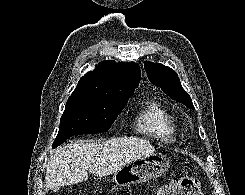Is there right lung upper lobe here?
Segmentation results:
<instances>
[{
  "instance_id": "cb5924a9",
  "label": "right lung upper lobe",
  "mask_w": 245,
  "mask_h": 195,
  "mask_svg": "<svg viewBox=\"0 0 245 195\" xmlns=\"http://www.w3.org/2000/svg\"><path fill=\"white\" fill-rule=\"evenodd\" d=\"M141 71L134 62L105 60L85 74L71 96H91L107 100H128L139 85Z\"/></svg>"
}]
</instances>
